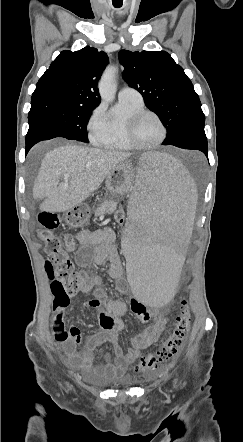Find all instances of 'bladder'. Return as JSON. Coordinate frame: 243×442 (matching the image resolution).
<instances>
[{"instance_id":"obj_1","label":"bladder","mask_w":243,"mask_h":442,"mask_svg":"<svg viewBox=\"0 0 243 442\" xmlns=\"http://www.w3.org/2000/svg\"><path fill=\"white\" fill-rule=\"evenodd\" d=\"M130 383V379L128 378H117L111 381V386H125Z\"/></svg>"}]
</instances>
